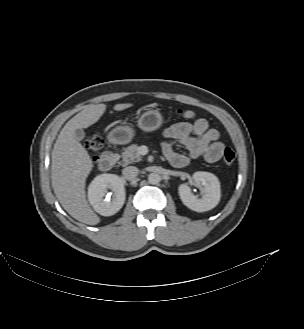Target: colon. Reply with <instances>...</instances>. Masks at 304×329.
<instances>
[{
  "instance_id": "obj_1",
  "label": "colon",
  "mask_w": 304,
  "mask_h": 329,
  "mask_svg": "<svg viewBox=\"0 0 304 329\" xmlns=\"http://www.w3.org/2000/svg\"><path fill=\"white\" fill-rule=\"evenodd\" d=\"M177 114L179 118L183 120H192L195 119L196 117V112L191 109H179L177 111ZM86 143L88 148L94 154V158H97L96 155L102 147L101 139L96 135H89L87 136ZM222 157H223V162L227 165H230L235 160V153L230 147H225L223 149Z\"/></svg>"
}]
</instances>
